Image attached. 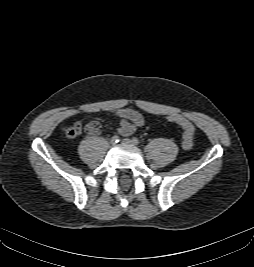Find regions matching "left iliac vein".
<instances>
[{
  "label": "left iliac vein",
  "mask_w": 254,
  "mask_h": 267,
  "mask_svg": "<svg viewBox=\"0 0 254 267\" xmlns=\"http://www.w3.org/2000/svg\"><path fill=\"white\" fill-rule=\"evenodd\" d=\"M122 143L123 144H126V145H135L132 140L127 139V138L126 139H123L122 140Z\"/></svg>",
  "instance_id": "left-iliac-vein-1"
}]
</instances>
